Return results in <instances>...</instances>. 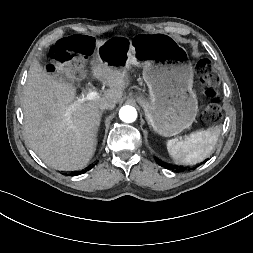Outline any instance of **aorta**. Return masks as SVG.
Wrapping results in <instances>:
<instances>
[{"mask_svg":"<svg viewBox=\"0 0 253 253\" xmlns=\"http://www.w3.org/2000/svg\"><path fill=\"white\" fill-rule=\"evenodd\" d=\"M120 119L125 123H132L137 118V111L133 106H123L119 111Z\"/></svg>","mask_w":253,"mask_h":253,"instance_id":"1","label":"aorta"}]
</instances>
